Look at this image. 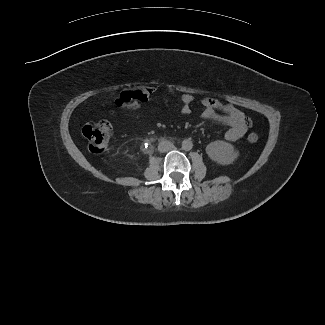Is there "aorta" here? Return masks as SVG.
Wrapping results in <instances>:
<instances>
[{
    "label": "aorta",
    "mask_w": 325,
    "mask_h": 325,
    "mask_svg": "<svg viewBox=\"0 0 325 325\" xmlns=\"http://www.w3.org/2000/svg\"><path fill=\"white\" fill-rule=\"evenodd\" d=\"M193 148V143L190 139H185L182 141V149L185 151H189Z\"/></svg>",
    "instance_id": "aorta-1"
}]
</instances>
